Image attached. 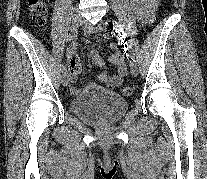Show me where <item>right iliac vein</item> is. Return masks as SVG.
I'll return each mask as SVG.
<instances>
[{
	"label": "right iliac vein",
	"instance_id": "obj_1",
	"mask_svg": "<svg viewBox=\"0 0 207 179\" xmlns=\"http://www.w3.org/2000/svg\"><path fill=\"white\" fill-rule=\"evenodd\" d=\"M82 19L79 14H74L72 17V31H77L81 25ZM70 77L67 72L63 73L62 84L67 86L69 84Z\"/></svg>",
	"mask_w": 207,
	"mask_h": 179
}]
</instances>
